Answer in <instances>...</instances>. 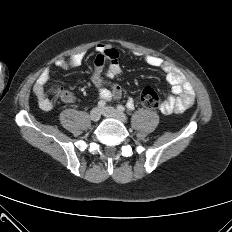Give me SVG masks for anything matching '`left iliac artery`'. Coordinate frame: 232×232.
<instances>
[{"label":"left iliac artery","instance_id":"left-iliac-artery-1","mask_svg":"<svg viewBox=\"0 0 232 232\" xmlns=\"http://www.w3.org/2000/svg\"><path fill=\"white\" fill-rule=\"evenodd\" d=\"M127 108H128L129 110H133V109H134V103H133V104H127ZM117 109H118V111H120V112L125 111V107L122 106V105H118V106H117Z\"/></svg>","mask_w":232,"mask_h":232}]
</instances>
